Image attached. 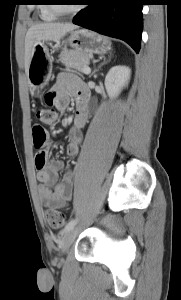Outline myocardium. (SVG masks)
I'll use <instances>...</instances> for the list:
<instances>
[{
    "label": "myocardium",
    "instance_id": "1",
    "mask_svg": "<svg viewBox=\"0 0 181 300\" xmlns=\"http://www.w3.org/2000/svg\"><path fill=\"white\" fill-rule=\"evenodd\" d=\"M49 8L50 10L57 16H67L75 14L78 11V8L64 10L60 7L59 4L56 3L55 0H49Z\"/></svg>",
    "mask_w": 181,
    "mask_h": 300
}]
</instances>
